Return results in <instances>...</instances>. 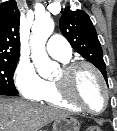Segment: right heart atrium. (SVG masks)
I'll list each match as a JSON object with an SVG mask.
<instances>
[{
    "label": "right heart atrium",
    "mask_w": 117,
    "mask_h": 131,
    "mask_svg": "<svg viewBox=\"0 0 117 131\" xmlns=\"http://www.w3.org/2000/svg\"><path fill=\"white\" fill-rule=\"evenodd\" d=\"M14 82L24 98L34 101L39 100L46 88V81L38 75L35 68L28 62H20L17 65Z\"/></svg>",
    "instance_id": "1"
}]
</instances>
